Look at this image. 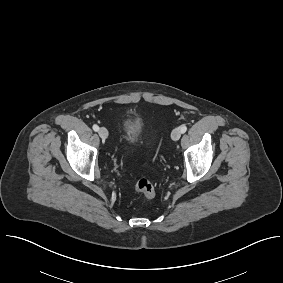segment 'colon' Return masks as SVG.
Listing matches in <instances>:
<instances>
[{
	"mask_svg": "<svg viewBox=\"0 0 283 283\" xmlns=\"http://www.w3.org/2000/svg\"><path fill=\"white\" fill-rule=\"evenodd\" d=\"M135 189L146 199H153L156 191L154 185L147 178H140L135 184Z\"/></svg>",
	"mask_w": 283,
	"mask_h": 283,
	"instance_id": "obj_1",
	"label": "colon"
}]
</instances>
